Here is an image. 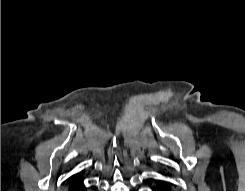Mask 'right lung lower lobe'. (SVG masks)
Returning a JSON list of instances; mask_svg holds the SVG:
<instances>
[{"instance_id":"1","label":"right lung lower lobe","mask_w":245,"mask_h":191,"mask_svg":"<svg viewBox=\"0 0 245 191\" xmlns=\"http://www.w3.org/2000/svg\"><path fill=\"white\" fill-rule=\"evenodd\" d=\"M82 181V179L73 180L69 187V191H86Z\"/></svg>"}]
</instances>
